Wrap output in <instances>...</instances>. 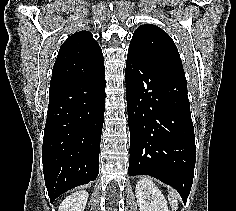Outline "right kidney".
Wrapping results in <instances>:
<instances>
[{
	"instance_id": "1",
	"label": "right kidney",
	"mask_w": 236,
	"mask_h": 211,
	"mask_svg": "<svg viewBox=\"0 0 236 211\" xmlns=\"http://www.w3.org/2000/svg\"><path fill=\"white\" fill-rule=\"evenodd\" d=\"M88 200L85 190L67 196L59 206V211H83Z\"/></svg>"
}]
</instances>
